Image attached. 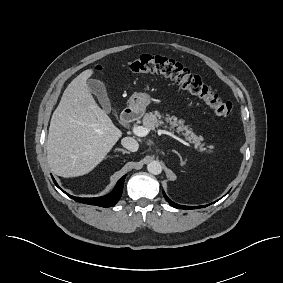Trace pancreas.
<instances>
[{"mask_svg": "<svg viewBox=\"0 0 283 283\" xmlns=\"http://www.w3.org/2000/svg\"><path fill=\"white\" fill-rule=\"evenodd\" d=\"M162 119H164L165 122ZM142 122L145 127L151 130L164 125L165 128H168L171 131H176L177 133L183 135L187 141L193 143L195 147L199 148L201 151L206 150V148H204L205 144L202 143L204 138L202 136H197L193 132L192 128H190L188 125H184L185 121L183 119H178L177 117L170 116L169 114H166V117H164L160 112L154 111L146 113L143 117ZM165 123L169 126L165 125ZM208 148L213 149V146L210 145L208 146ZM209 151L211 152V150Z\"/></svg>", "mask_w": 283, "mask_h": 283, "instance_id": "obj_1", "label": "pancreas"}]
</instances>
